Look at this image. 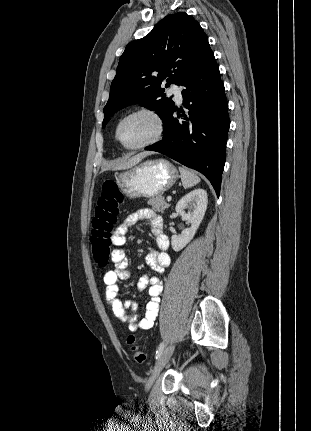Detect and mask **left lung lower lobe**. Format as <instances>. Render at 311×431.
<instances>
[{
  "mask_svg": "<svg viewBox=\"0 0 311 431\" xmlns=\"http://www.w3.org/2000/svg\"><path fill=\"white\" fill-rule=\"evenodd\" d=\"M180 85L183 105L181 119L173 117L180 110L173 106L163 123L164 138L146 150L160 152L204 174L217 196L226 159L230 119L228 102L219 69L211 49L204 52Z\"/></svg>",
  "mask_w": 311,
  "mask_h": 431,
  "instance_id": "left-lung-lower-lobe-1",
  "label": "left lung lower lobe"
}]
</instances>
